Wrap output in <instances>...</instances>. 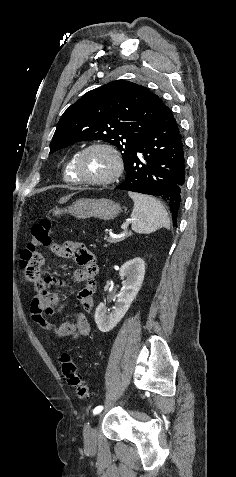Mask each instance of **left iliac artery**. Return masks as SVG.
I'll return each instance as SVG.
<instances>
[{
	"instance_id": "44dca946",
	"label": "left iliac artery",
	"mask_w": 236,
	"mask_h": 477,
	"mask_svg": "<svg viewBox=\"0 0 236 477\" xmlns=\"http://www.w3.org/2000/svg\"><path fill=\"white\" fill-rule=\"evenodd\" d=\"M102 410H103V406H97L94 408L93 414L95 415L98 411H102Z\"/></svg>"
}]
</instances>
